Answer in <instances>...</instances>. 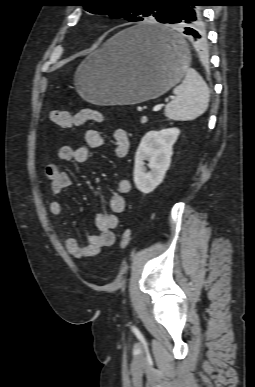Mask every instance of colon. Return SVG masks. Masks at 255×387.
Segmentation results:
<instances>
[{"label": "colon", "instance_id": "colon-1", "mask_svg": "<svg viewBox=\"0 0 255 387\" xmlns=\"http://www.w3.org/2000/svg\"><path fill=\"white\" fill-rule=\"evenodd\" d=\"M50 118L56 126L63 129L80 126L89 121L97 123H103L105 121V117L100 111L90 108L81 109L74 114L64 109H54L51 111ZM131 242V232L125 230L120 238L121 248H127Z\"/></svg>", "mask_w": 255, "mask_h": 387}]
</instances>
